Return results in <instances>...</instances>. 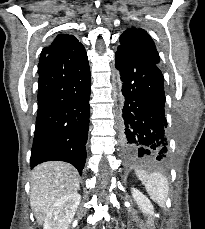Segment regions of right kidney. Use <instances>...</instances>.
Here are the masks:
<instances>
[{"label":"right kidney","mask_w":205,"mask_h":229,"mask_svg":"<svg viewBox=\"0 0 205 229\" xmlns=\"http://www.w3.org/2000/svg\"><path fill=\"white\" fill-rule=\"evenodd\" d=\"M80 201V194L72 193L53 203L47 212L43 229H68Z\"/></svg>","instance_id":"1"}]
</instances>
